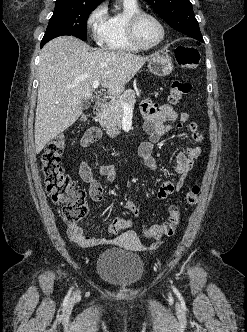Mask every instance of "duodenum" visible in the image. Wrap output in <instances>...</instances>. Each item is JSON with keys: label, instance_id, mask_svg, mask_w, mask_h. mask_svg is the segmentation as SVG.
<instances>
[{"label": "duodenum", "instance_id": "duodenum-1", "mask_svg": "<svg viewBox=\"0 0 247 332\" xmlns=\"http://www.w3.org/2000/svg\"><path fill=\"white\" fill-rule=\"evenodd\" d=\"M106 105L103 102H98L94 107V115L97 119H101L104 116Z\"/></svg>", "mask_w": 247, "mask_h": 332}]
</instances>
